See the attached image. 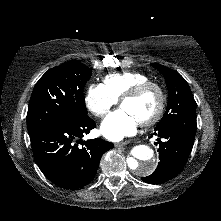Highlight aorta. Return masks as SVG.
<instances>
[{
    "label": "aorta",
    "instance_id": "aorta-1",
    "mask_svg": "<svg viewBox=\"0 0 221 221\" xmlns=\"http://www.w3.org/2000/svg\"><path fill=\"white\" fill-rule=\"evenodd\" d=\"M128 166L137 175L153 173L157 166L154 151L143 144L133 147L131 156L128 158Z\"/></svg>",
    "mask_w": 221,
    "mask_h": 221
}]
</instances>
